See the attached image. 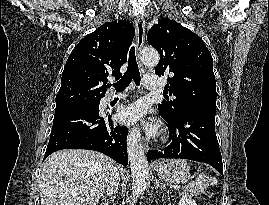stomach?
<instances>
[{"instance_id":"1","label":"stomach","mask_w":269,"mask_h":205,"mask_svg":"<svg viewBox=\"0 0 269 205\" xmlns=\"http://www.w3.org/2000/svg\"><path fill=\"white\" fill-rule=\"evenodd\" d=\"M155 171L159 178L172 184H185L190 179V166L185 160H163L157 163ZM194 194L195 190L190 189Z\"/></svg>"}]
</instances>
